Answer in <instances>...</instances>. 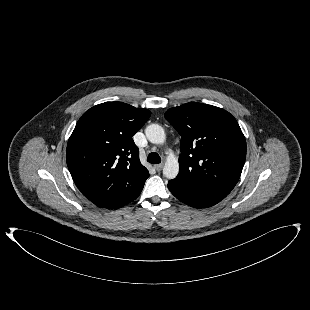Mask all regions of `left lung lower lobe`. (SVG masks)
Returning <instances> with one entry per match:
<instances>
[{
    "mask_svg": "<svg viewBox=\"0 0 310 310\" xmlns=\"http://www.w3.org/2000/svg\"><path fill=\"white\" fill-rule=\"evenodd\" d=\"M168 188L177 199L195 208L213 206L225 197L184 185L174 179L169 181Z\"/></svg>",
    "mask_w": 310,
    "mask_h": 310,
    "instance_id": "1",
    "label": "left lung lower lobe"
}]
</instances>
